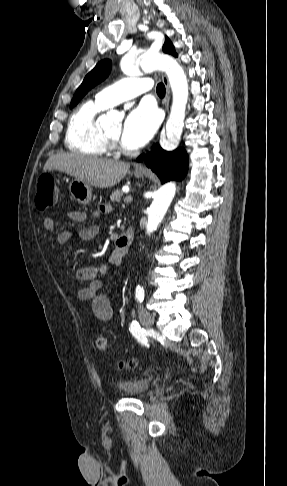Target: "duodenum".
I'll return each mask as SVG.
<instances>
[{"instance_id":"duodenum-1","label":"duodenum","mask_w":287,"mask_h":486,"mask_svg":"<svg viewBox=\"0 0 287 486\" xmlns=\"http://www.w3.org/2000/svg\"><path fill=\"white\" fill-rule=\"evenodd\" d=\"M134 238V229L132 226L128 228L117 238L115 244V252L118 255H125Z\"/></svg>"}]
</instances>
